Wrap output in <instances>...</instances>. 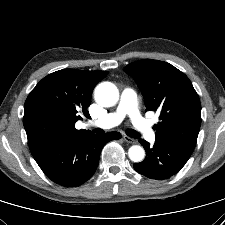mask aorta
Returning <instances> with one entry per match:
<instances>
[{
  "label": "aorta",
  "instance_id": "1",
  "mask_svg": "<svg viewBox=\"0 0 225 225\" xmlns=\"http://www.w3.org/2000/svg\"><path fill=\"white\" fill-rule=\"evenodd\" d=\"M96 102L103 107H112L119 100V91L111 82L100 83L94 93ZM128 156L133 162H141L145 157L144 149L139 145H133L128 150Z\"/></svg>",
  "mask_w": 225,
  "mask_h": 225
}]
</instances>
